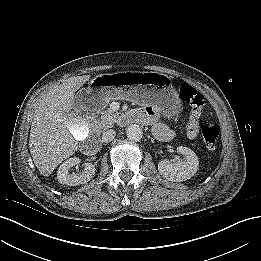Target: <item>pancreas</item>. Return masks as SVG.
I'll return each mask as SVG.
<instances>
[{"label": "pancreas", "instance_id": "cf45deb5", "mask_svg": "<svg viewBox=\"0 0 261 261\" xmlns=\"http://www.w3.org/2000/svg\"><path fill=\"white\" fill-rule=\"evenodd\" d=\"M119 114L114 113L112 110L107 109L102 112L101 118L96 122L94 127L100 130H106L113 127L114 123L118 121Z\"/></svg>", "mask_w": 261, "mask_h": 261}]
</instances>
